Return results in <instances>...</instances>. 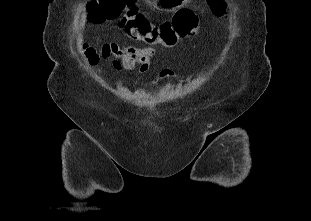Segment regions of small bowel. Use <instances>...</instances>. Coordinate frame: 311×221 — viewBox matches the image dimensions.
Wrapping results in <instances>:
<instances>
[{"mask_svg":"<svg viewBox=\"0 0 311 221\" xmlns=\"http://www.w3.org/2000/svg\"><path fill=\"white\" fill-rule=\"evenodd\" d=\"M161 10L163 8H160ZM174 10V8H172ZM108 46H127V53H109V57H105L107 63L117 71L122 70H133L138 67L140 74L146 75L149 73L152 67L153 58L159 53L163 52L164 49L154 47H135L124 45L115 41H110L105 45L104 50H107ZM172 72L170 70H163L156 83L159 81L171 78Z\"/></svg>","mask_w":311,"mask_h":221,"instance_id":"c3829d8e","label":"small bowel"}]
</instances>
